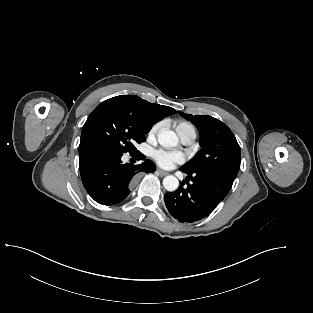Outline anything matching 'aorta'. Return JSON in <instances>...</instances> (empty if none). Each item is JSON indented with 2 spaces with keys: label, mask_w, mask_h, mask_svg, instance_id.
<instances>
[{
  "label": "aorta",
  "mask_w": 313,
  "mask_h": 313,
  "mask_svg": "<svg viewBox=\"0 0 313 313\" xmlns=\"http://www.w3.org/2000/svg\"><path fill=\"white\" fill-rule=\"evenodd\" d=\"M158 142L164 148H172L178 145L179 140L173 131H161L158 133ZM163 186L167 191L173 192L179 187V181L175 176L169 175L163 179Z\"/></svg>",
  "instance_id": "762f6f07"
}]
</instances>
